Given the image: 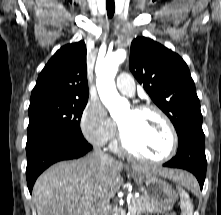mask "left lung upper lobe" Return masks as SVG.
Wrapping results in <instances>:
<instances>
[{"mask_svg":"<svg viewBox=\"0 0 221 215\" xmlns=\"http://www.w3.org/2000/svg\"><path fill=\"white\" fill-rule=\"evenodd\" d=\"M129 67L154 103L170 118L179 140L202 130L200 102L185 61L152 39L131 43Z\"/></svg>","mask_w":221,"mask_h":215,"instance_id":"left-lung-upper-lobe-1","label":"left lung upper lobe"}]
</instances>
